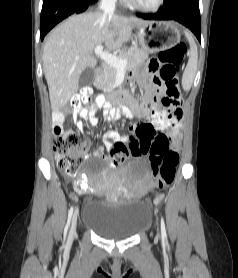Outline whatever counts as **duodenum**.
<instances>
[{
	"label": "duodenum",
	"mask_w": 238,
	"mask_h": 278,
	"mask_svg": "<svg viewBox=\"0 0 238 278\" xmlns=\"http://www.w3.org/2000/svg\"><path fill=\"white\" fill-rule=\"evenodd\" d=\"M101 68H99V67H97V68H95L94 69V72H93V74H94V77L96 78V79H98L100 76H101Z\"/></svg>",
	"instance_id": "1"
}]
</instances>
